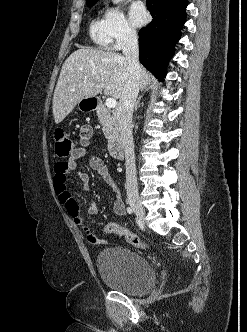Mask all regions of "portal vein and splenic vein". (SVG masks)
Returning <instances> with one entry per match:
<instances>
[{"label": "portal vein and splenic vein", "mask_w": 247, "mask_h": 332, "mask_svg": "<svg viewBox=\"0 0 247 332\" xmlns=\"http://www.w3.org/2000/svg\"><path fill=\"white\" fill-rule=\"evenodd\" d=\"M105 104L108 108H115L117 106V101L115 98H107Z\"/></svg>", "instance_id": "portal-vein-and-splenic-vein-1"}]
</instances>
